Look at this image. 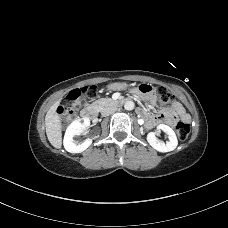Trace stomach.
<instances>
[{
	"mask_svg": "<svg viewBox=\"0 0 228 228\" xmlns=\"http://www.w3.org/2000/svg\"><path fill=\"white\" fill-rule=\"evenodd\" d=\"M129 85H127L126 83H121V82H115V83H109L107 85V89L108 90H124L127 89Z\"/></svg>",
	"mask_w": 228,
	"mask_h": 228,
	"instance_id": "0dacf381",
	"label": "stomach"
}]
</instances>
